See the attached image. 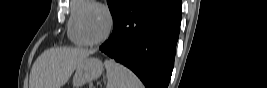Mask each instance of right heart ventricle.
Here are the masks:
<instances>
[{
	"instance_id": "e07e8e85",
	"label": "right heart ventricle",
	"mask_w": 267,
	"mask_h": 88,
	"mask_svg": "<svg viewBox=\"0 0 267 88\" xmlns=\"http://www.w3.org/2000/svg\"><path fill=\"white\" fill-rule=\"evenodd\" d=\"M94 2L88 0H72L70 2V16L67 24V35L72 43L77 46L87 45L81 38L78 30V20L84 10Z\"/></svg>"
}]
</instances>
